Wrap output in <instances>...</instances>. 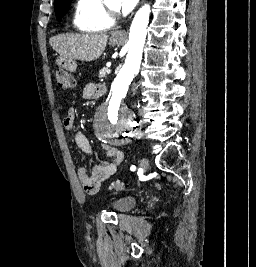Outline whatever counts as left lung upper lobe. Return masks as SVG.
Instances as JSON below:
<instances>
[{"instance_id": "left-lung-upper-lobe-1", "label": "left lung upper lobe", "mask_w": 256, "mask_h": 267, "mask_svg": "<svg viewBox=\"0 0 256 267\" xmlns=\"http://www.w3.org/2000/svg\"><path fill=\"white\" fill-rule=\"evenodd\" d=\"M71 1L72 0H54V8L58 20H61V17L68 11Z\"/></svg>"}]
</instances>
